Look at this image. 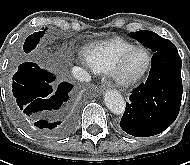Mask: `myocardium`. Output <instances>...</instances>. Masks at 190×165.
<instances>
[{"label":"myocardium","instance_id":"obj_1","mask_svg":"<svg viewBox=\"0 0 190 165\" xmlns=\"http://www.w3.org/2000/svg\"><path fill=\"white\" fill-rule=\"evenodd\" d=\"M137 50H144L147 53L148 62H147L146 67L144 68V70L140 74H138V75H136L134 77H128V76H126L124 74L125 63H126L128 57L133 52H135ZM152 64H153V56H152L151 51L145 46L135 45L134 47H132V48L128 49L127 51H125L120 56L116 66H115V68H114V70L112 72V76H113L115 82L118 85L123 86V87H130V86L138 84L139 82H141L147 76V74L151 70Z\"/></svg>","mask_w":190,"mask_h":165}]
</instances>
